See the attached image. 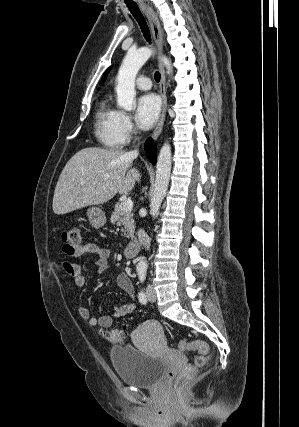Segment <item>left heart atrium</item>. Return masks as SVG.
I'll list each match as a JSON object with an SVG mask.
<instances>
[{
    "instance_id": "1",
    "label": "left heart atrium",
    "mask_w": 299,
    "mask_h": 427,
    "mask_svg": "<svg viewBox=\"0 0 299 427\" xmlns=\"http://www.w3.org/2000/svg\"><path fill=\"white\" fill-rule=\"evenodd\" d=\"M160 113V101L154 94H145L137 101L135 118L142 129H150Z\"/></svg>"
}]
</instances>
